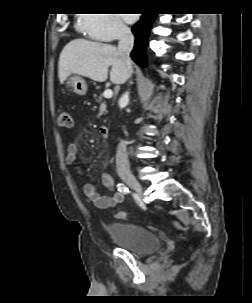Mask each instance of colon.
I'll return each mask as SVG.
<instances>
[{
    "instance_id": "colon-1",
    "label": "colon",
    "mask_w": 252,
    "mask_h": 303,
    "mask_svg": "<svg viewBox=\"0 0 252 303\" xmlns=\"http://www.w3.org/2000/svg\"><path fill=\"white\" fill-rule=\"evenodd\" d=\"M59 124L61 127H66L69 128L72 125V120H71V115L67 111H62L59 115ZM115 217L117 219H126L127 218V213L125 212H118L115 214Z\"/></svg>"
}]
</instances>
